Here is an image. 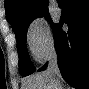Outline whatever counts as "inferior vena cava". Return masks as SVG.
<instances>
[{
	"mask_svg": "<svg viewBox=\"0 0 89 89\" xmlns=\"http://www.w3.org/2000/svg\"><path fill=\"white\" fill-rule=\"evenodd\" d=\"M47 72L56 77H60V70L58 68V60L55 52L51 53L49 56Z\"/></svg>",
	"mask_w": 89,
	"mask_h": 89,
	"instance_id": "inferior-vena-cava-1",
	"label": "inferior vena cava"
}]
</instances>
